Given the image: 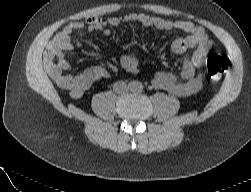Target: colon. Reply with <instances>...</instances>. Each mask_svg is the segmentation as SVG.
Returning <instances> with one entry per match:
<instances>
[{"label": "colon", "instance_id": "obj_1", "mask_svg": "<svg viewBox=\"0 0 251 192\" xmlns=\"http://www.w3.org/2000/svg\"><path fill=\"white\" fill-rule=\"evenodd\" d=\"M227 61L226 59L214 58L210 60V70L211 76L215 79H218L222 76L224 71L227 68Z\"/></svg>", "mask_w": 251, "mask_h": 192}]
</instances>
